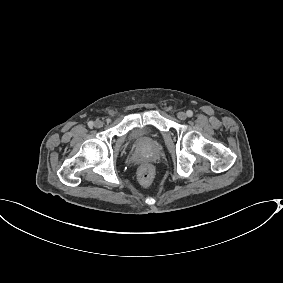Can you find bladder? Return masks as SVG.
Returning a JSON list of instances; mask_svg holds the SVG:
<instances>
[{"instance_id": "obj_1", "label": "bladder", "mask_w": 283, "mask_h": 283, "mask_svg": "<svg viewBox=\"0 0 283 283\" xmlns=\"http://www.w3.org/2000/svg\"><path fill=\"white\" fill-rule=\"evenodd\" d=\"M146 131V127H135L131 129L125 136L126 143L130 145L138 144L140 140L144 137Z\"/></svg>"}]
</instances>
